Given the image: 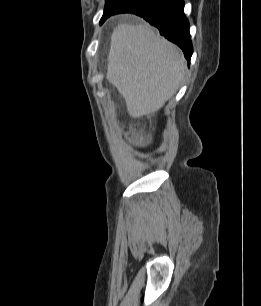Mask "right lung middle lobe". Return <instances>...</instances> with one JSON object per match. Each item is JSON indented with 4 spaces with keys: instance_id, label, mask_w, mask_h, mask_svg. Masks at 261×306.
Masks as SVG:
<instances>
[{
    "instance_id": "obj_1",
    "label": "right lung middle lobe",
    "mask_w": 261,
    "mask_h": 306,
    "mask_svg": "<svg viewBox=\"0 0 261 306\" xmlns=\"http://www.w3.org/2000/svg\"><path fill=\"white\" fill-rule=\"evenodd\" d=\"M130 0H110L106 1L105 9H104V14L110 13L112 11H115L128 3Z\"/></svg>"
}]
</instances>
